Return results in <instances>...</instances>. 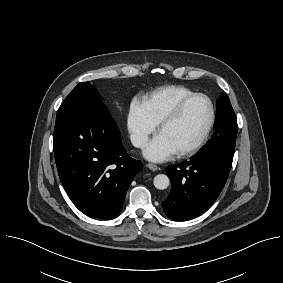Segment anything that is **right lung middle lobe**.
Listing matches in <instances>:
<instances>
[{"mask_svg":"<svg viewBox=\"0 0 283 283\" xmlns=\"http://www.w3.org/2000/svg\"><path fill=\"white\" fill-rule=\"evenodd\" d=\"M93 107H105L100 101L97 89L90 82L79 83L60 106L56 120L78 110Z\"/></svg>","mask_w":283,"mask_h":283,"instance_id":"right-lung-middle-lobe-1","label":"right lung middle lobe"}]
</instances>
